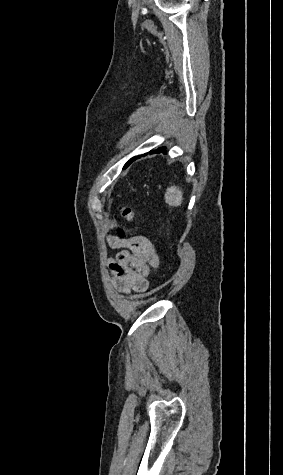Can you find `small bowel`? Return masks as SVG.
<instances>
[{
    "label": "small bowel",
    "instance_id": "1",
    "mask_svg": "<svg viewBox=\"0 0 283 475\" xmlns=\"http://www.w3.org/2000/svg\"><path fill=\"white\" fill-rule=\"evenodd\" d=\"M104 235L110 236L111 230L105 229ZM104 246L124 248L107 262L114 287L126 295L146 292L148 278L160 266V258L153 243L146 237L138 236L126 243L122 239H106Z\"/></svg>",
    "mask_w": 283,
    "mask_h": 475
}]
</instances>
